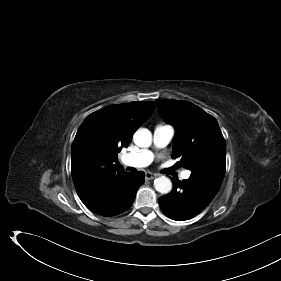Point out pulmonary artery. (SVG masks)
Wrapping results in <instances>:
<instances>
[{"instance_id":"e3ab8cb5","label":"pulmonary artery","mask_w":281,"mask_h":281,"mask_svg":"<svg viewBox=\"0 0 281 281\" xmlns=\"http://www.w3.org/2000/svg\"><path fill=\"white\" fill-rule=\"evenodd\" d=\"M175 130L170 125L159 124L153 131V145L156 149L166 147L173 139ZM154 159V154L149 149H143L134 153L126 154L122 157V161L129 166L145 167ZM191 172L186 170L182 172L181 178L188 179Z\"/></svg>"}]
</instances>
